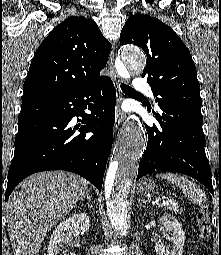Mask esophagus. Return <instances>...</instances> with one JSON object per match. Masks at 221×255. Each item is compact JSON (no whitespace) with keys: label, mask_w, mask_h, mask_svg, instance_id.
I'll return each instance as SVG.
<instances>
[{"label":"esophagus","mask_w":221,"mask_h":255,"mask_svg":"<svg viewBox=\"0 0 221 255\" xmlns=\"http://www.w3.org/2000/svg\"><path fill=\"white\" fill-rule=\"evenodd\" d=\"M114 58H115V55H114V48H113L109 56L108 67L111 74V78L115 85L116 95H117V104H116V112H115V128L118 129L120 125L123 123L125 117L123 112L120 109V104L122 101V91L120 86L122 84V80L120 79V77L118 76L115 70Z\"/></svg>","instance_id":"1"}]
</instances>
